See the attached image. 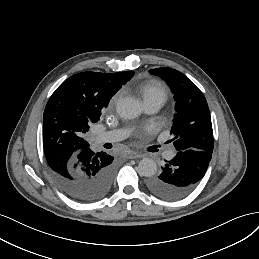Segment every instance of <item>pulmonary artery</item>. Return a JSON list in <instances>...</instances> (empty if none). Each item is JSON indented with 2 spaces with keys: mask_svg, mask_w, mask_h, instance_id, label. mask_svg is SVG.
<instances>
[{
  "mask_svg": "<svg viewBox=\"0 0 259 259\" xmlns=\"http://www.w3.org/2000/svg\"><path fill=\"white\" fill-rule=\"evenodd\" d=\"M164 104V100L161 98L149 99L144 101V108L148 113H155L157 112ZM128 132L126 130H111L106 131L102 130L96 137L98 143H105V142H117L124 138H126ZM175 156V153L172 149H167L164 153V157L167 160H172Z\"/></svg>",
  "mask_w": 259,
  "mask_h": 259,
  "instance_id": "1",
  "label": "pulmonary artery"
}]
</instances>
